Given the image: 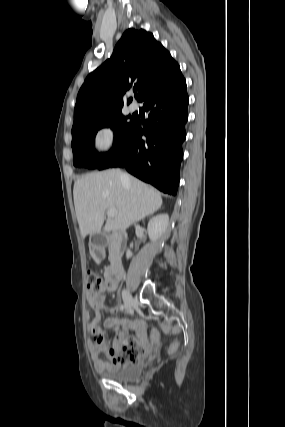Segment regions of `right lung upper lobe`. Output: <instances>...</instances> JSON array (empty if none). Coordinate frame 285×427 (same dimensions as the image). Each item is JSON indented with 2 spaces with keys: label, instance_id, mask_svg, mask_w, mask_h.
<instances>
[{
  "label": "right lung upper lobe",
  "instance_id": "right-lung-upper-lobe-1",
  "mask_svg": "<svg viewBox=\"0 0 285 427\" xmlns=\"http://www.w3.org/2000/svg\"><path fill=\"white\" fill-rule=\"evenodd\" d=\"M178 67L170 53L143 29L124 32L110 59L90 73L82 85L74 109L73 128L120 111L123 94L134 84L139 101L153 83ZM131 98L127 103H130Z\"/></svg>",
  "mask_w": 285,
  "mask_h": 427
}]
</instances>
